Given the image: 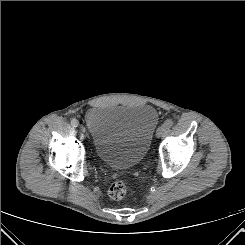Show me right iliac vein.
<instances>
[{"label": "right iliac vein", "instance_id": "right-iliac-vein-1", "mask_svg": "<svg viewBox=\"0 0 245 245\" xmlns=\"http://www.w3.org/2000/svg\"><path fill=\"white\" fill-rule=\"evenodd\" d=\"M80 131L85 132V128L83 126H80Z\"/></svg>", "mask_w": 245, "mask_h": 245}]
</instances>
